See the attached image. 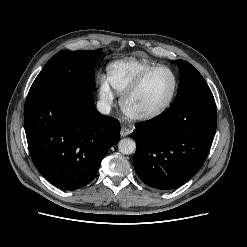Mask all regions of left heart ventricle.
Listing matches in <instances>:
<instances>
[{
    "instance_id": "left-heart-ventricle-1",
    "label": "left heart ventricle",
    "mask_w": 247,
    "mask_h": 247,
    "mask_svg": "<svg viewBox=\"0 0 247 247\" xmlns=\"http://www.w3.org/2000/svg\"><path fill=\"white\" fill-rule=\"evenodd\" d=\"M173 89L172 76L164 70L149 75L140 89L130 99L129 106L135 111H149L161 106Z\"/></svg>"
}]
</instances>
